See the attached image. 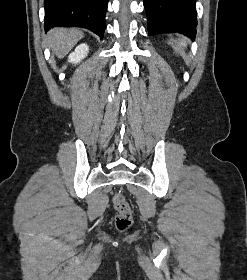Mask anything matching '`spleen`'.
Returning <instances> with one entry per match:
<instances>
[{"label":"spleen","mask_w":247,"mask_h":280,"mask_svg":"<svg viewBox=\"0 0 247 280\" xmlns=\"http://www.w3.org/2000/svg\"><path fill=\"white\" fill-rule=\"evenodd\" d=\"M173 41V49L175 53L180 54L181 56L184 55V47L186 46V39H178L172 40Z\"/></svg>","instance_id":"spleen-1"}]
</instances>
